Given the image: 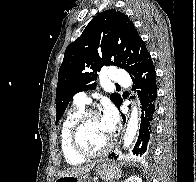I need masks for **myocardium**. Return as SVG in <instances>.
<instances>
[{"label":"myocardium","mask_w":196,"mask_h":182,"mask_svg":"<svg viewBox=\"0 0 196 182\" xmlns=\"http://www.w3.org/2000/svg\"><path fill=\"white\" fill-rule=\"evenodd\" d=\"M99 116L100 113L97 110L94 109H88L84 110L79 117L75 120L69 134V142L71 149L78 154L79 156L83 158H97L106 155L114 146V140L113 138H110L108 144L94 152H90L86 150L80 143L79 137L81 129L83 128L84 124L90 119L91 117Z\"/></svg>","instance_id":"1"}]
</instances>
